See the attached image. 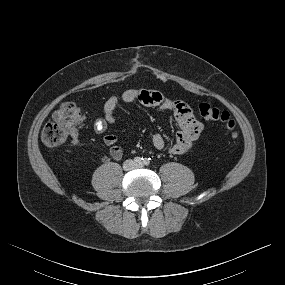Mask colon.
I'll list each match as a JSON object with an SVG mask.
<instances>
[{"instance_id": "colon-1", "label": "colon", "mask_w": 285, "mask_h": 285, "mask_svg": "<svg viewBox=\"0 0 285 285\" xmlns=\"http://www.w3.org/2000/svg\"><path fill=\"white\" fill-rule=\"evenodd\" d=\"M199 114L204 120L221 122L232 138L238 136L236 122L227 110L203 103L199 106ZM84 119L82 109L74 102L61 103L53 113L51 120L43 128L42 141L50 147L63 144L78 130Z\"/></svg>"}]
</instances>
